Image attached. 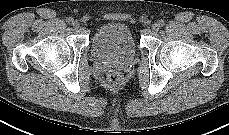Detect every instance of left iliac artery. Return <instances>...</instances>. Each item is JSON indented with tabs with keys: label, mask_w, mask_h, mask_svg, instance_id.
<instances>
[{
	"label": "left iliac artery",
	"mask_w": 229,
	"mask_h": 135,
	"mask_svg": "<svg viewBox=\"0 0 229 135\" xmlns=\"http://www.w3.org/2000/svg\"><path fill=\"white\" fill-rule=\"evenodd\" d=\"M159 25H160L161 27H163V26L165 25V22H164L163 20H161V21L159 22Z\"/></svg>",
	"instance_id": "44dca946"
}]
</instances>
